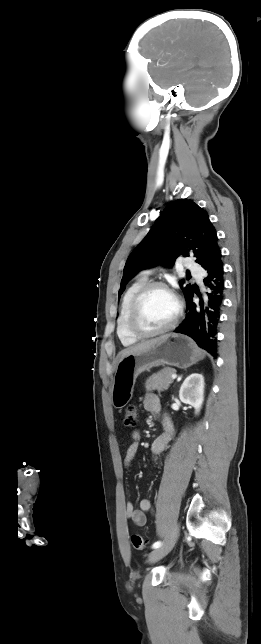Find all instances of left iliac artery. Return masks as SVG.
<instances>
[{"label":"left iliac artery","mask_w":261,"mask_h":644,"mask_svg":"<svg viewBox=\"0 0 261 644\" xmlns=\"http://www.w3.org/2000/svg\"><path fill=\"white\" fill-rule=\"evenodd\" d=\"M161 545H162V542H161V541H157V542H155V543L152 545V548H153V549H156V548H159Z\"/></svg>","instance_id":"1"}]
</instances>
